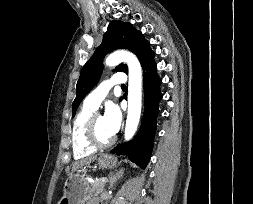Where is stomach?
<instances>
[{"instance_id": "obj_1", "label": "stomach", "mask_w": 253, "mask_h": 204, "mask_svg": "<svg viewBox=\"0 0 253 204\" xmlns=\"http://www.w3.org/2000/svg\"><path fill=\"white\" fill-rule=\"evenodd\" d=\"M100 167L109 169L114 167L115 158L111 155L102 154L98 158ZM93 192L86 180L85 174L73 172L69 174L64 183V195L57 204H88L92 199Z\"/></svg>"}]
</instances>
